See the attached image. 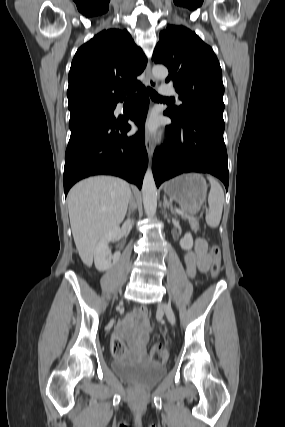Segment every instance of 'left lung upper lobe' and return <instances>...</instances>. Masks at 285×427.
Masks as SVG:
<instances>
[{
  "mask_svg": "<svg viewBox=\"0 0 285 427\" xmlns=\"http://www.w3.org/2000/svg\"><path fill=\"white\" fill-rule=\"evenodd\" d=\"M153 61L167 66V83L179 93L182 105L167 112L178 121L199 114L223 118L222 70L212 48L184 26L168 25L159 35Z\"/></svg>",
  "mask_w": 285,
  "mask_h": 427,
  "instance_id": "5c2ea615",
  "label": "left lung upper lobe"
}]
</instances>
